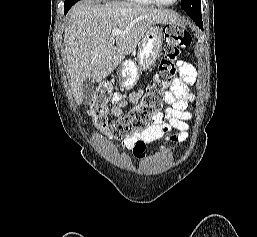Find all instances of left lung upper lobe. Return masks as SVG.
<instances>
[{
	"label": "left lung upper lobe",
	"mask_w": 257,
	"mask_h": 237,
	"mask_svg": "<svg viewBox=\"0 0 257 237\" xmlns=\"http://www.w3.org/2000/svg\"><path fill=\"white\" fill-rule=\"evenodd\" d=\"M181 8L190 17H201V0H181Z\"/></svg>",
	"instance_id": "left-lung-upper-lobe-1"
}]
</instances>
